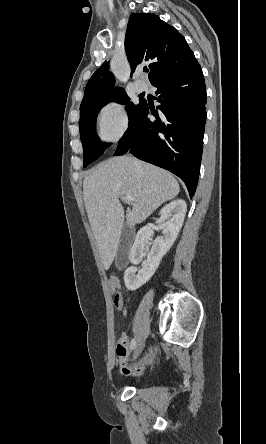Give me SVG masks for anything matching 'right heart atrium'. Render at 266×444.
<instances>
[{"instance_id": "right-heart-atrium-1", "label": "right heart atrium", "mask_w": 266, "mask_h": 444, "mask_svg": "<svg viewBox=\"0 0 266 444\" xmlns=\"http://www.w3.org/2000/svg\"><path fill=\"white\" fill-rule=\"evenodd\" d=\"M129 119L121 104L116 101L106 103L99 111L97 130L104 143L118 142L128 129Z\"/></svg>"}]
</instances>
